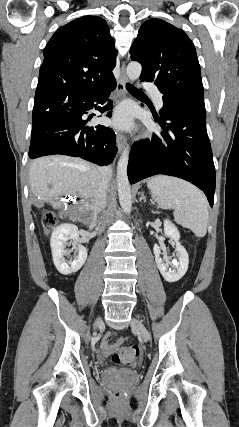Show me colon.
Instances as JSON below:
<instances>
[{
  "instance_id": "1",
  "label": "colon",
  "mask_w": 239,
  "mask_h": 427,
  "mask_svg": "<svg viewBox=\"0 0 239 427\" xmlns=\"http://www.w3.org/2000/svg\"><path fill=\"white\" fill-rule=\"evenodd\" d=\"M42 225L46 231L53 229L56 225L54 216L50 213L45 214L42 217ZM139 355L140 348L136 345L122 347L112 355V360L120 366H131L138 359ZM114 396L120 399L123 396V392L121 390H116Z\"/></svg>"
}]
</instances>
